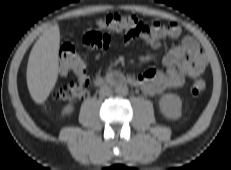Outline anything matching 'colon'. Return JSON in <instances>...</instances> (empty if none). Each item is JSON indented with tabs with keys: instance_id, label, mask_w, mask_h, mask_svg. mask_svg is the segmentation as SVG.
I'll return each instance as SVG.
<instances>
[{
	"instance_id": "colon-1",
	"label": "colon",
	"mask_w": 231,
	"mask_h": 170,
	"mask_svg": "<svg viewBox=\"0 0 231 170\" xmlns=\"http://www.w3.org/2000/svg\"><path fill=\"white\" fill-rule=\"evenodd\" d=\"M101 31L120 33L135 37L145 30V25L135 15L123 13H110L97 21ZM59 70L64 75L73 74L75 80L57 88L53 93V99L57 101L74 102L84 99L88 94L89 80L86 74V63L78 50L66 44L62 46L59 55ZM206 80L202 74L196 76L191 85V92L194 95L205 91Z\"/></svg>"
}]
</instances>
